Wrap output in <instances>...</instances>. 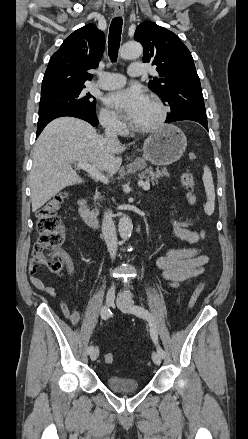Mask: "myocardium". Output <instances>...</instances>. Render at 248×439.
<instances>
[{
	"label": "myocardium",
	"mask_w": 248,
	"mask_h": 439,
	"mask_svg": "<svg viewBox=\"0 0 248 439\" xmlns=\"http://www.w3.org/2000/svg\"><path fill=\"white\" fill-rule=\"evenodd\" d=\"M149 101L157 107L159 111L158 118L152 124L147 126H137L133 124L132 129L137 133L148 134L155 132L161 129L167 120L168 108L164 105V103L155 96L150 97Z\"/></svg>",
	"instance_id": "obj_1"
}]
</instances>
